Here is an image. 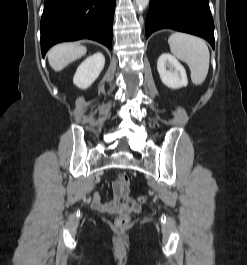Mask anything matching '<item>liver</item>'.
I'll return each mask as SVG.
<instances>
[{
	"label": "liver",
	"instance_id": "6515ba94",
	"mask_svg": "<svg viewBox=\"0 0 247 265\" xmlns=\"http://www.w3.org/2000/svg\"><path fill=\"white\" fill-rule=\"evenodd\" d=\"M85 46L76 43H62L55 45L48 52V61L55 71H61L73 61L85 55Z\"/></svg>",
	"mask_w": 247,
	"mask_h": 265
}]
</instances>
